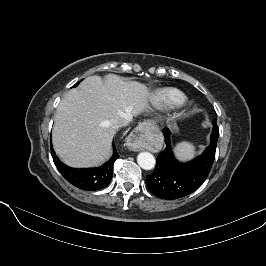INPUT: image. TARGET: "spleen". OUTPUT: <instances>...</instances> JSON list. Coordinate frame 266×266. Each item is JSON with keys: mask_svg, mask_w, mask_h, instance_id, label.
I'll return each mask as SVG.
<instances>
[{"mask_svg": "<svg viewBox=\"0 0 266 266\" xmlns=\"http://www.w3.org/2000/svg\"><path fill=\"white\" fill-rule=\"evenodd\" d=\"M195 146L190 142H180L175 147V152L178 158L182 160L191 159L195 156Z\"/></svg>", "mask_w": 266, "mask_h": 266, "instance_id": "1", "label": "spleen"}]
</instances>
